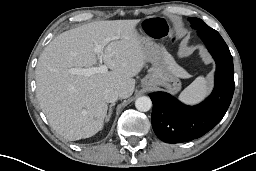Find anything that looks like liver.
Returning <instances> with one entry per match:
<instances>
[{
	"label": "liver",
	"mask_w": 256,
	"mask_h": 171,
	"mask_svg": "<svg viewBox=\"0 0 256 171\" xmlns=\"http://www.w3.org/2000/svg\"><path fill=\"white\" fill-rule=\"evenodd\" d=\"M139 20L96 21L65 31L44 49L36 66V94L51 127L67 140L98 133L107 114L103 92L130 97L133 79L146 64V54L135 26ZM104 48L105 59L94 51ZM101 59L111 71L91 76L72 74V68H90ZM177 76L184 73L174 64Z\"/></svg>",
	"instance_id": "1"
}]
</instances>
